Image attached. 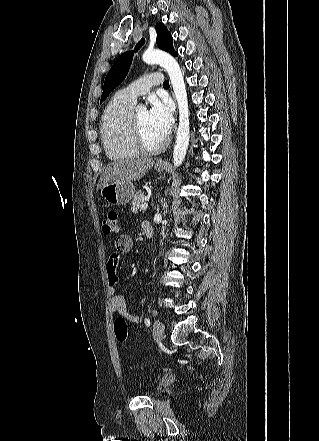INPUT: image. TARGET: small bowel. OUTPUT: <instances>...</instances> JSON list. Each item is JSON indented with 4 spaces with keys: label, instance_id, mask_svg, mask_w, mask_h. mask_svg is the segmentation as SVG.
<instances>
[{
    "label": "small bowel",
    "instance_id": "obj_1",
    "mask_svg": "<svg viewBox=\"0 0 319 441\" xmlns=\"http://www.w3.org/2000/svg\"><path fill=\"white\" fill-rule=\"evenodd\" d=\"M116 252H113L106 263V277L108 283V294L110 296V308L113 313L125 318L131 323L137 324L140 321L138 315L130 312L125 299L117 294V285L119 283L117 268L120 261V253H127L133 247V239L127 234L120 235L115 241Z\"/></svg>",
    "mask_w": 319,
    "mask_h": 441
}]
</instances>
